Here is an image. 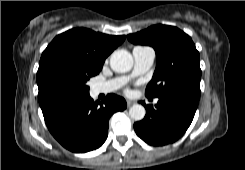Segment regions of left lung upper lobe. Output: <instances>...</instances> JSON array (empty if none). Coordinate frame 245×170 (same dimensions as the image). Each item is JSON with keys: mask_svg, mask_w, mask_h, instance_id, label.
Segmentation results:
<instances>
[{"mask_svg": "<svg viewBox=\"0 0 245 170\" xmlns=\"http://www.w3.org/2000/svg\"><path fill=\"white\" fill-rule=\"evenodd\" d=\"M127 38L134 44L150 45L156 52V70L146 96L176 93L200 98L199 52L186 33L173 26L154 25Z\"/></svg>", "mask_w": 245, "mask_h": 170, "instance_id": "1", "label": "left lung upper lobe"}]
</instances>
